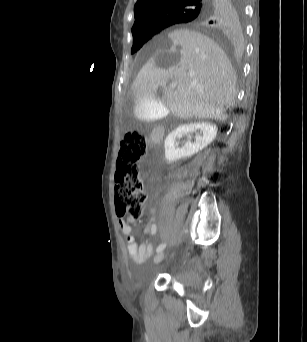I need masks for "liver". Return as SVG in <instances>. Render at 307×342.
I'll use <instances>...</instances> for the list:
<instances>
[{"label":"liver","instance_id":"1","mask_svg":"<svg viewBox=\"0 0 307 342\" xmlns=\"http://www.w3.org/2000/svg\"><path fill=\"white\" fill-rule=\"evenodd\" d=\"M153 50L132 86L134 95L157 94L176 118L227 120L225 106H233L236 76L224 50L194 30H174ZM177 82L167 88V82Z\"/></svg>","mask_w":307,"mask_h":342}]
</instances>
